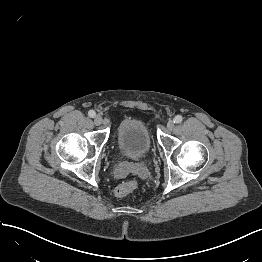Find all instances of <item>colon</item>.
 Here are the masks:
<instances>
[{"label":"colon","instance_id":"obj_1","mask_svg":"<svg viewBox=\"0 0 262 262\" xmlns=\"http://www.w3.org/2000/svg\"><path fill=\"white\" fill-rule=\"evenodd\" d=\"M137 188V182L135 180H129L118 185L115 189V195L118 198L126 197L130 192Z\"/></svg>","mask_w":262,"mask_h":262}]
</instances>
